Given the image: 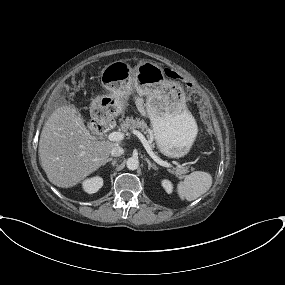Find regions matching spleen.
Masks as SVG:
<instances>
[{"label":"spleen","instance_id":"3e777b00","mask_svg":"<svg viewBox=\"0 0 285 285\" xmlns=\"http://www.w3.org/2000/svg\"><path fill=\"white\" fill-rule=\"evenodd\" d=\"M211 186L212 176L210 173L195 171L177 184V192L182 200L193 201L206 193Z\"/></svg>","mask_w":285,"mask_h":285}]
</instances>
